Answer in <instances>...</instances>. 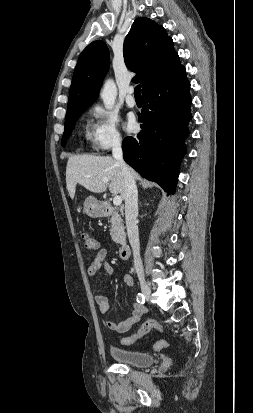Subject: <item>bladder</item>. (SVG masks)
I'll use <instances>...</instances> for the list:
<instances>
[{
  "label": "bladder",
  "instance_id": "31cf9c89",
  "mask_svg": "<svg viewBox=\"0 0 253 413\" xmlns=\"http://www.w3.org/2000/svg\"><path fill=\"white\" fill-rule=\"evenodd\" d=\"M111 357L118 363L133 367H149L155 362V358L143 352L125 350L119 347H110Z\"/></svg>",
  "mask_w": 253,
  "mask_h": 413
}]
</instances>
